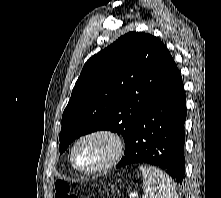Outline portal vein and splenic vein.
Instances as JSON below:
<instances>
[{"label":"portal vein and splenic vein","instance_id":"portal-vein-and-splenic-vein-1","mask_svg":"<svg viewBox=\"0 0 221 198\" xmlns=\"http://www.w3.org/2000/svg\"><path fill=\"white\" fill-rule=\"evenodd\" d=\"M132 197H133V198L137 197V194H134ZM142 198H145V197H144V196H142Z\"/></svg>","mask_w":221,"mask_h":198}]
</instances>
